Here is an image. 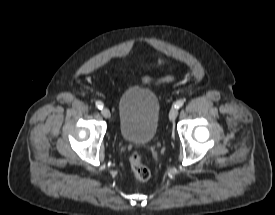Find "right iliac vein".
I'll return each mask as SVG.
<instances>
[{
	"mask_svg": "<svg viewBox=\"0 0 275 215\" xmlns=\"http://www.w3.org/2000/svg\"><path fill=\"white\" fill-rule=\"evenodd\" d=\"M101 114L107 119L111 117L109 109L105 107L101 110Z\"/></svg>",
	"mask_w": 275,
	"mask_h": 215,
	"instance_id": "obj_1",
	"label": "right iliac vein"
}]
</instances>
